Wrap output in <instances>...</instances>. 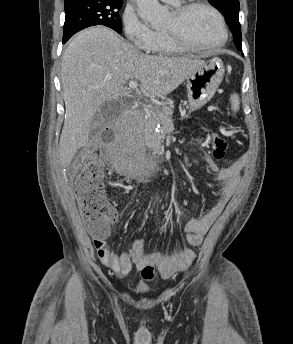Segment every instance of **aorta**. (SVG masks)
Listing matches in <instances>:
<instances>
[{"instance_id": "aorta-1", "label": "aorta", "mask_w": 293, "mask_h": 344, "mask_svg": "<svg viewBox=\"0 0 293 344\" xmlns=\"http://www.w3.org/2000/svg\"><path fill=\"white\" fill-rule=\"evenodd\" d=\"M138 14L143 21L148 22L153 27L164 24L167 18V9L158 0H136Z\"/></svg>"}]
</instances>
